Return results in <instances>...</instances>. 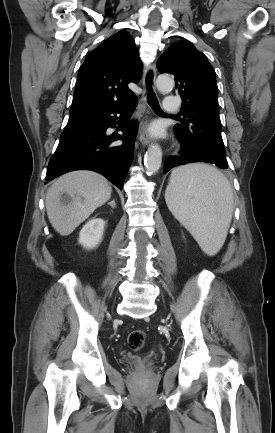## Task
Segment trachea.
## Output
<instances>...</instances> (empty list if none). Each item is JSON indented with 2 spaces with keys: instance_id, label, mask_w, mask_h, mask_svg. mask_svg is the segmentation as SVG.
<instances>
[{
  "instance_id": "1",
  "label": "trachea",
  "mask_w": 275,
  "mask_h": 433,
  "mask_svg": "<svg viewBox=\"0 0 275 433\" xmlns=\"http://www.w3.org/2000/svg\"><path fill=\"white\" fill-rule=\"evenodd\" d=\"M148 103H149L150 107L154 111H156L158 113H162L161 109H160V106H159L158 99H157L155 93L152 90H150V92L148 94ZM134 109H135L134 106L130 108L131 111L134 110Z\"/></svg>"
}]
</instances>
